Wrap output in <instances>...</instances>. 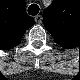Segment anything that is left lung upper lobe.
Returning a JSON list of instances; mask_svg holds the SVG:
<instances>
[{"label":"left lung upper lobe","instance_id":"obj_1","mask_svg":"<svg viewBox=\"0 0 80 80\" xmlns=\"http://www.w3.org/2000/svg\"><path fill=\"white\" fill-rule=\"evenodd\" d=\"M70 0H53L51 6L46 9L43 22L54 40L59 44L72 43L73 34L77 32L75 21L69 8Z\"/></svg>","mask_w":80,"mask_h":80}]
</instances>
